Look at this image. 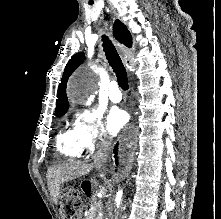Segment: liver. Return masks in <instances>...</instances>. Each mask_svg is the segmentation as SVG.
<instances>
[{
  "instance_id": "obj_1",
  "label": "liver",
  "mask_w": 221,
  "mask_h": 219,
  "mask_svg": "<svg viewBox=\"0 0 221 219\" xmlns=\"http://www.w3.org/2000/svg\"><path fill=\"white\" fill-rule=\"evenodd\" d=\"M93 168H95L93 164H87L80 161L69 162L49 168L47 171L48 189L53 202L57 204L60 188L63 183L86 176L93 170ZM107 189L108 186H100L99 193L105 195Z\"/></svg>"
}]
</instances>
